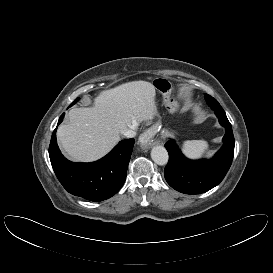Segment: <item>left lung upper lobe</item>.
<instances>
[{"instance_id": "obj_1", "label": "left lung upper lobe", "mask_w": 273, "mask_h": 273, "mask_svg": "<svg viewBox=\"0 0 273 273\" xmlns=\"http://www.w3.org/2000/svg\"><path fill=\"white\" fill-rule=\"evenodd\" d=\"M205 100L207 104L214 110V111H224L221 105L218 103L216 99L211 97L208 94H205Z\"/></svg>"}]
</instances>
